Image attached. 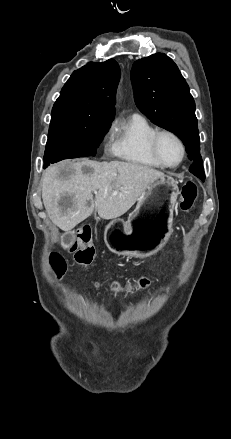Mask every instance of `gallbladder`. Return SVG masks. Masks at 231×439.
Segmentation results:
<instances>
[{"mask_svg": "<svg viewBox=\"0 0 231 439\" xmlns=\"http://www.w3.org/2000/svg\"><path fill=\"white\" fill-rule=\"evenodd\" d=\"M74 240V232H67L63 234L61 243L64 247H69Z\"/></svg>", "mask_w": 231, "mask_h": 439, "instance_id": "bac80fb5", "label": "gallbladder"}]
</instances>
